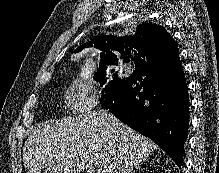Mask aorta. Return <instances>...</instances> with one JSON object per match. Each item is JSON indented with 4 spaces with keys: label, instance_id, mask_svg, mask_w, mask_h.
Listing matches in <instances>:
<instances>
[{
    "label": "aorta",
    "instance_id": "obj_1",
    "mask_svg": "<svg viewBox=\"0 0 219 173\" xmlns=\"http://www.w3.org/2000/svg\"><path fill=\"white\" fill-rule=\"evenodd\" d=\"M90 71H91L90 65H89V64H86V69H85V74H84V76L88 77Z\"/></svg>",
    "mask_w": 219,
    "mask_h": 173
}]
</instances>
